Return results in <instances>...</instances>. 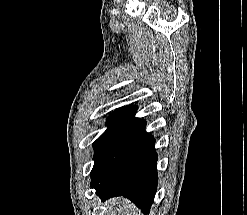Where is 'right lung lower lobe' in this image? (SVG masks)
<instances>
[{
    "instance_id": "right-lung-lower-lobe-1",
    "label": "right lung lower lobe",
    "mask_w": 247,
    "mask_h": 215,
    "mask_svg": "<svg viewBox=\"0 0 247 215\" xmlns=\"http://www.w3.org/2000/svg\"><path fill=\"white\" fill-rule=\"evenodd\" d=\"M136 110L129 105L109 116L108 129L93 144L91 188L102 200L123 195L148 213L158 182L157 153L145 121L134 117Z\"/></svg>"
}]
</instances>
